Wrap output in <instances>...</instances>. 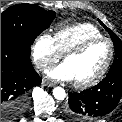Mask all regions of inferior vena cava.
<instances>
[{
    "instance_id": "inferior-vena-cava-1",
    "label": "inferior vena cava",
    "mask_w": 122,
    "mask_h": 122,
    "mask_svg": "<svg viewBox=\"0 0 122 122\" xmlns=\"http://www.w3.org/2000/svg\"><path fill=\"white\" fill-rule=\"evenodd\" d=\"M37 68L40 69L41 71H48L50 69V66L37 64Z\"/></svg>"
}]
</instances>
